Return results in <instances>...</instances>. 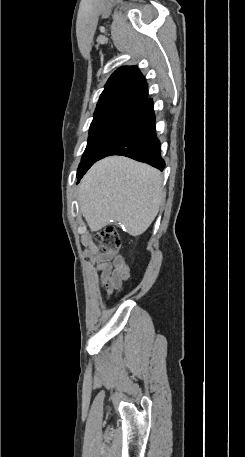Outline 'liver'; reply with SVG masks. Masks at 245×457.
Returning <instances> with one entry per match:
<instances>
[{"label":"liver","instance_id":"liver-1","mask_svg":"<svg viewBox=\"0 0 245 457\" xmlns=\"http://www.w3.org/2000/svg\"><path fill=\"white\" fill-rule=\"evenodd\" d=\"M164 196L160 170L126 156H107L84 174L78 200L90 231L120 220L129 235L138 237L153 222Z\"/></svg>","mask_w":245,"mask_h":457}]
</instances>
